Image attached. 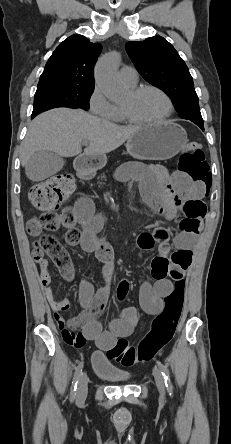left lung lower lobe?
<instances>
[{"mask_svg":"<svg viewBox=\"0 0 231 444\" xmlns=\"http://www.w3.org/2000/svg\"><path fill=\"white\" fill-rule=\"evenodd\" d=\"M195 124L198 125L201 128V130H204L203 123H195Z\"/></svg>","mask_w":231,"mask_h":444,"instance_id":"1","label":"left lung lower lobe"}]
</instances>
